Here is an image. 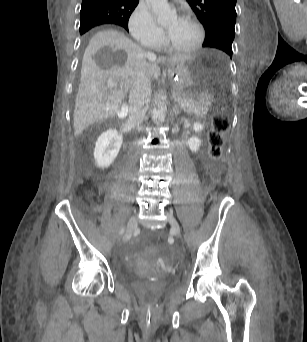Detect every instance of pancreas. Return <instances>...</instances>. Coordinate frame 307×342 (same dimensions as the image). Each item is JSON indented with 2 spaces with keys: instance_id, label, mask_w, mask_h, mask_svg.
I'll use <instances>...</instances> for the list:
<instances>
[{
  "instance_id": "obj_1",
  "label": "pancreas",
  "mask_w": 307,
  "mask_h": 342,
  "mask_svg": "<svg viewBox=\"0 0 307 342\" xmlns=\"http://www.w3.org/2000/svg\"><path fill=\"white\" fill-rule=\"evenodd\" d=\"M175 98L177 101H180L181 103L189 104L190 108H196L197 110H200L197 112L198 116H201L202 112L204 110H207L209 107L207 103H202V97H195V99L192 100L191 97H185L184 94H177Z\"/></svg>"
}]
</instances>
